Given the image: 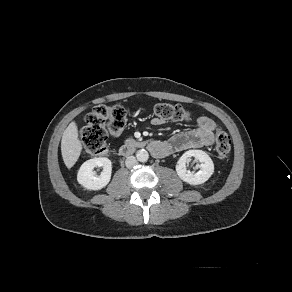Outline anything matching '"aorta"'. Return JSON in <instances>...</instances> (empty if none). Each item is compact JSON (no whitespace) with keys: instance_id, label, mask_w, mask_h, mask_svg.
Masks as SVG:
<instances>
[{"instance_id":"aorta-1","label":"aorta","mask_w":292,"mask_h":292,"mask_svg":"<svg viewBox=\"0 0 292 292\" xmlns=\"http://www.w3.org/2000/svg\"><path fill=\"white\" fill-rule=\"evenodd\" d=\"M136 157L140 162H146L149 158V154L145 149L138 150L136 153Z\"/></svg>"}]
</instances>
